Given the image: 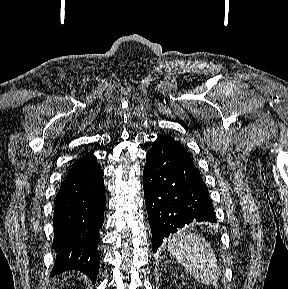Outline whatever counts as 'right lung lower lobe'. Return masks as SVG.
Wrapping results in <instances>:
<instances>
[{
    "instance_id": "obj_1",
    "label": "right lung lower lobe",
    "mask_w": 288,
    "mask_h": 289,
    "mask_svg": "<svg viewBox=\"0 0 288 289\" xmlns=\"http://www.w3.org/2000/svg\"><path fill=\"white\" fill-rule=\"evenodd\" d=\"M103 171L92 154L82 156L61 184L54 208L52 275L80 270L95 282L99 270V228L106 201Z\"/></svg>"
}]
</instances>
